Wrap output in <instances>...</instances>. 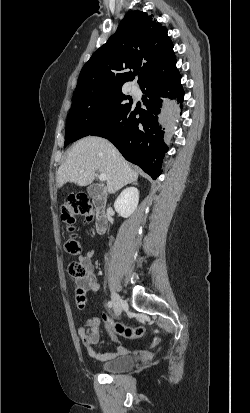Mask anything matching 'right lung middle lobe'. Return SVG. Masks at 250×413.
Wrapping results in <instances>:
<instances>
[{
    "instance_id": "dd1d6c3e",
    "label": "right lung middle lobe",
    "mask_w": 250,
    "mask_h": 413,
    "mask_svg": "<svg viewBox=\"0 0 250 413\" xmlns=\"http://www.w3.org/2000/svg\"><path fill=\"white\" fill-rule=\"evenodd\" d=\"M131 104V97L125 96L121 88L75 94L66 121L64 147L102 128Z\"/></svg>"
}]
</instances>
